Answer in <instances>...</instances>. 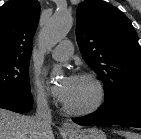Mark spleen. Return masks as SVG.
Listing matches in <instances>:
<instances>
[{
  "instance_id": "3e777b00",
  "label": "spleen",
  "mask_w": 141,
  "mask_h": 139,
  "mask_svg": "<svg viewBox=\"0 0 141 139\" xmlns=\"http://www.w3.org/2000/svg\"><path fill=\"white\" fill-rule=\"evenodd\" d=\"M120 134H122L125 139H141V135L140 134H136L133 132H119Z\"/></svg>"
}]
</instances>
